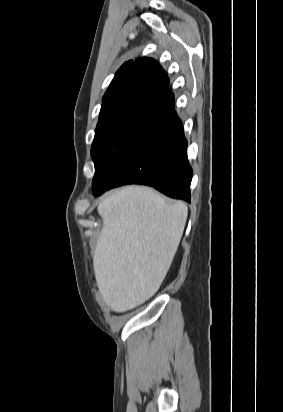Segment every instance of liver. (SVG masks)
Returning a JSON list of instances; mask_svg holds the SVG:
<instances>
[{
  "label": "liver",
  "instance_id": "6515ba94",
  "mask_svg": "<svg viewBox=\"0 0 283 412\" xmlns=\"http://www.w3.org/2000/svg\"><path fill=\"white\" fill-rule=\"evenodd\" d=\"M103 227L93 260L95 278L113 311L131 310L164 280L185 228L188 207L153 189L126 186L98 205Z\"/></svg>",
  "mask_w": 283,
  "mask_h": 412
}]
</instances>
